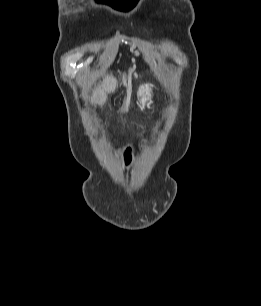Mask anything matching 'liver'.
<instances>
[{
    "label": "liver",
    "mask_w": 261,
    "mask_h": 306,
    "mask_svg": "<svg viewBox=\"0 0 261 306\" xmlns=\"http://www.w3.org/2000/svg\"><path fill=\"white\" fill-rule=\"evenodd\" d=\"M117 87V80L112 75H107L101 85L93 90L90 98L92 104L104 105L107 100V95L114 92Z\"/></svg>",
    "instance_id": "1"
}]
</instances>
